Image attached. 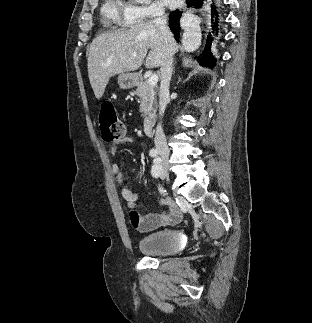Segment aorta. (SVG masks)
<instances>
[{"instance_id": "1", "label": "aorta", "mask_w": 312, "mask_h": 323, "mask_svg": "<svg viewBox=\"0 0 312 323\" xmlns=\"http://www.w3.org/2000/svg\"><path fill=\"white\" fill-rule=\"evenodd\" d=\"M201 44V34L198 30H185L182 36V46L185 52H195Z\"/></svg>"}]
</instances>
